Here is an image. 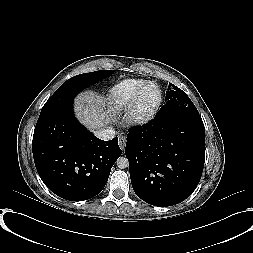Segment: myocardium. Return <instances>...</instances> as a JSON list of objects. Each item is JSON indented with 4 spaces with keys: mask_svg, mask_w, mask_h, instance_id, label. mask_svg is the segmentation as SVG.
I'll list each match as a JSON object with an SVG mask.
<instances>
[{
    "mask_svg": "<svg viewBox=\"0 0 253 253\" xmlns=\"http://www.w3.org/2000/svg\"><path fill=\"white\" fill-rule=\"evenodd\" d=\"M151 85L155 86L158 89L159 100L157 104L154 107H152L150 110L144 111L142 108V96L146 88ZM163 100H164V94L161 87L156 82H153V81L145 82L137 91L133 102L128 108L127 115H126L128 122L136 126H143V125L148 124L154 119V117L158 113L159 109L161 108L163 104Z\"/></svg>",
    "mask_w": 253,
    "mask_h": 253,
    "instance_id": "myocardium-1",
    "label": "myocardium"
}]
</instances>
